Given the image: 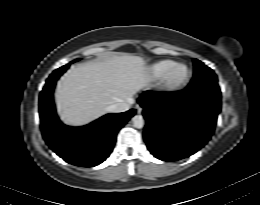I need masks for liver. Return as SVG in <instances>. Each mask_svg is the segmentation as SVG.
I'll use <instances>...</instances> for the list:
<instances>
[{"label": "liver", "mask_w": 260, "mask_h": 205, "mask_svg": "<svg viewBox=\"0 0 260 205\" xmlns=\"http://www.w3.org/2000/svg\"><path fill=\"white\" fill-rule=\"evenodd\" d=\"M148 84L143 58L114 55L71 67L59 80L56 105L61 120L85 125L107 112L115 103L129 101Z\"/></svg>", "instance_id": "obj_1"}]
</instances>
